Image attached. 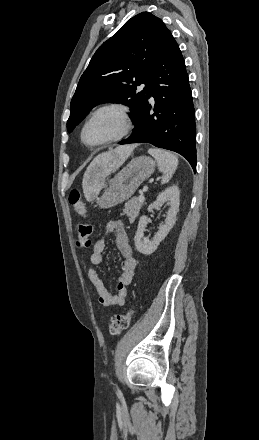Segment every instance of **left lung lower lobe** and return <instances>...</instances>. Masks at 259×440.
Returning a JSON list of instances; mask_svg holds the SVG:
<instances>
[{"instance_id":"obj_1","label":"left lung lower lobe","mask_w":259,"mask_h":440,"mask_svg":"<svg viewBox=\"0 0 259 440\" xmlns=\"http://www.w3.org/2000/svg\"><path fill=\"white\" fill-rule=\"evenodd\" d=\"M155 99L150 114L148 99ZM195 111L185 62L169 34L153 69L147 103L136 119L134 132L120 144L150 143L181 154L196 170Z\"/></svg>"}]
</instances>
